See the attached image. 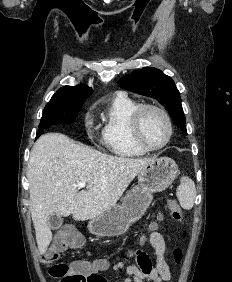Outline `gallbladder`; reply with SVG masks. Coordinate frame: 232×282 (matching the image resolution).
<instances>
[{
	"label": "gallbladder",
	"instance_id": "obj_1",
	"mask_svg": "<svg viewBox=\"0 0 232 282\" xmlns=\"http://www.w3.org/2000/svg\"><path fill=\"white\" fill-rule=\"evenodd\" d=\"M63 218L58 214H51L48 219V225L50 229L56 230L62 226Z\"/></svg>",
	"mask_w": 232,
	"mask_h": 282
}]
</instances>
